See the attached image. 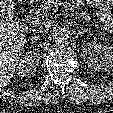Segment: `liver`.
<instances>
[{
	"instance_id": "6515ba94",
	"label": "liver",
	"mask_w": 113,
	"mask_h": 113,
	"mask_svg": "<svg viewBox=\"0 0 113 113\" xmlns=\"http://www.w3.org/2000/svg\"><path fill=\"white\" fill-rule=\"evenodd\" d=\"M14 7L13 0H0V88L10 84L27 40L11 24Z\"/></svg>"
}]
</instances>
